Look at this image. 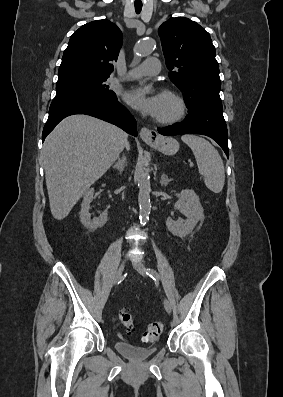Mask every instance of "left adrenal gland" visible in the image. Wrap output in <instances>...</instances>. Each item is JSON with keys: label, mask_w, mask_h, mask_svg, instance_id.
Instances as JSON below:
<instances>
[{"label": "left adrenal gland", "mask_w": 283, "mask_h": 397, "mask_svg": "<svg viewBox=\"0 0 283 397\" xmlns=\"http://www.w3.org/2000/svg\"><path fill=\"white\" fill-rule=\"evenodd\" d=\"M171 181H172V179H169L165 173H162V176L160 179L161 186H167L169 184V182H171Z\"/></svg>", "instance_id": "a2214340"}]
</instances>
